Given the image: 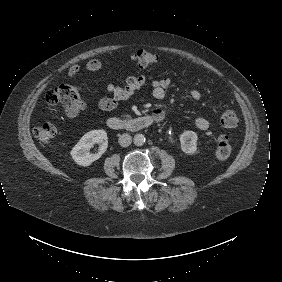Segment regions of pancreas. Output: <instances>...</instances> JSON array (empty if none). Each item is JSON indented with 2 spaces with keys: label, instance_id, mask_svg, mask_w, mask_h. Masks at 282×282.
I'll use <instances>...</instances> for the list:
<instances>
[{
  "label": "pancreas",
  "instance_id": "pancreas-1",
  "mask_svg": "<svg viewBox=\"0 0 282 282\" xmlns=\"http://www.w3.org/2000/svg\"><path fill=\"white\" fill-rule=\"evenodd\" d=\"M132 117H133V116H132L131 114H128V113H125V114H122V115H121V118L124 119V120H126V121L132 119Z\"/></svg>",
  "mask_w": 282,
  "mask_h": 282
}]
</instances>
